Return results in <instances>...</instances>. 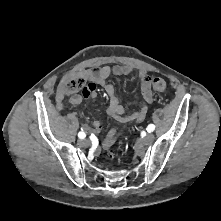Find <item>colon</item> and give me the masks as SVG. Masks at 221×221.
I'll list each match as a JSON object with an SVG mask.
<instances>
[{
  "instance_id": "5ec220e1",
  "label": "colon",
  "mask_w": 221,
  "mask_h": 221,
  "mask_svg": "<svg viewBox=\"0 0 221 221\" xmlns=\"http://www.w3.org/2000/svg\"><path fill=\"white\" fill-rule=\"evenodd\" d=\"M85 84L86 81L82 76H74L66 80L62 88V91L64 94L76 93L81 91ZM152 86L156 92H164L167 87V84L162 78H154Z\"/></svg>"
}]
</instances>
